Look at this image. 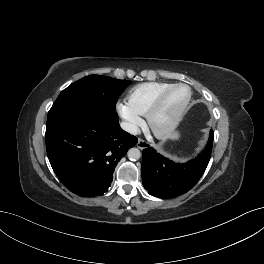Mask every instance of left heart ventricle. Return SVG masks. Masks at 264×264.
<instances>
[{"label":"left heart ventricle","instance_id":"left-heart-ventricle-1","mask_svg":"<svg viewBox=\"0 0 264 264\" xmlns=\"http://www.w3.org/2000/svg\"><path fill=\"white\" fill-rule=\"evenodd\" d=\"M188 97V90L184 87L173 89L166 97L164 104L155 118L158 127L165 126L182 107Z\"/></svg>","mask_w":264,"mask_h":264}]
</instances>
